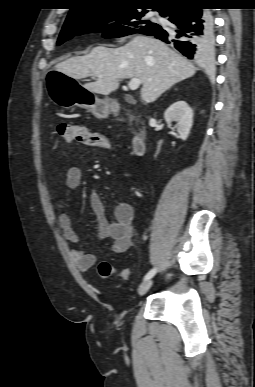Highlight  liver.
<instances>
[{
    "label": "liver",
    "instance_id": "1",
    "mask_svg": "<svg viewBox=\"0 0 255 387\" xmlns=\"http://www.w3.org/2000/svg\"><path fill=\"white\" fill-rule=\"evenodd\" d=\"M56 70L75 79L96 78L83 87L105 96L116 91L122 79L139 78L142 100L152 103L197 69L162 41L136 35L122 47L97 46L85 56L71 57L58 63Z\"/></svg>",
    "mask_w": 255,
    "mask_h": 387
}]
</instances>
